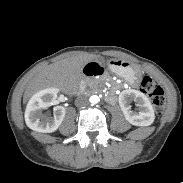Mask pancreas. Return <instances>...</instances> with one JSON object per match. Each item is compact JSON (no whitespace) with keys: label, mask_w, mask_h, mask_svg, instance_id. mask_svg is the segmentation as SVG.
Instances as JSON below:
<instances>
[{"label":"pancreas","mask_w":183,"mask_h":183,"mask_svg":"<svg viewBox=\"0 0 183 183\" xmlns=\"http://www.w3.org/2000/svg\"><path fill=\"white\" fill-rule=\"evenodd\" d=\"M98 83V80H91L90 82H89V85L91 86V87H93L94 85H96Z\"/></svg>","instance_id":"cf45deb5"}]
</instances>
